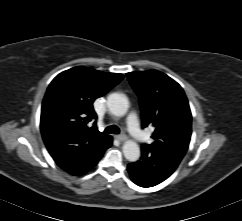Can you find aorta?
<instances>
[{
    "label": "aorta",
    "instance_id": "1",
    "mask_svg": "<svg viewBox=\"0 0 242 221\" xmlns=\"http://www.w3.org/2000/svg\"><path fill=\"white\" fill-rule=\"evenodd\" d=\"M107 106L109 111L116 116H124L128 111V100L120 93H112L107 98ZM124 157L130 161L135 162L140 157V147L133 140H127L123 145Z\"/></svg>",
    "mask_w": 242,
    "mask_h": 221
}]
</instances>
